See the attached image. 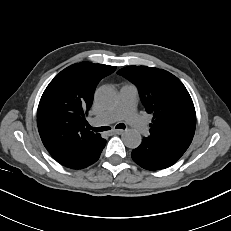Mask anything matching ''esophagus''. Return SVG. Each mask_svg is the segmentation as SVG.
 <instances>
[{"label":"esophagus","instance_id":"1","mask_svg":"<svg viewBox=\"0 0 231 231\" xmlns=\"http://www.w3.org/2000/svg\"><path fill=\"white\" fill-rule=\"evenodd\" d=\"M124 132V130L122 129H114L111 131L112 134H122Z\"/></svg>","mask_w":231,"mask_h":231}]
</instances>
